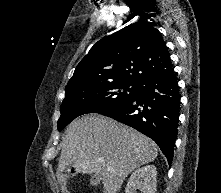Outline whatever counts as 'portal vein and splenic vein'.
<instances>
[{
  "label": "portal vein and splenic vein",
  "mask_w": 221,
  "mask_h": 193,
  "mask_svg": "<svg viewBox=\"0 0 221 193\" xmlns=\"http://www.w3.org/2000/svg\"><path fill=\"white\" fill-rule=\"evenodd\" d=\"M99 162H101V163H102V162H103V160H101V159H100V160H99ZM107 170H108V171H114V169H113L112 167H108V168H107Z\"/></svg>",
  "instance_id": "portal-vein-and-splenic-vein-1"
}]
</instances>
